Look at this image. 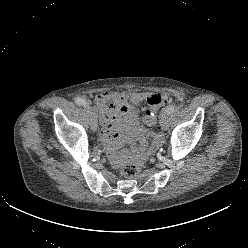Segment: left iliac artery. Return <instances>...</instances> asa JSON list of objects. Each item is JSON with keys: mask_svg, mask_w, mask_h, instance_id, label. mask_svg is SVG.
Returning <instances> with one entry per match:
<instances>
[{"mask_svg": "<svg viewBox=\"0 0 248 248\" xmlns=\"http://www.w3.org/2000/svg\"><path fill=\"white\" fill-rule=\"evenodd\" d=\"M175 104H171V105H169L168 107H167V112L170 114V113H172L173 111H174V109H175Z\"/></svg>", "mask_w": 248, "mask_h": 248, "instance_id": "1", "label": "left iliac artery"}]
</instances>
